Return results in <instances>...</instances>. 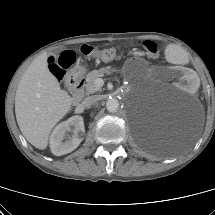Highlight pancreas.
Segmentation results:
<instances>
[{
    "mask_svg": "<svg viewBox=\"0 0 215 215\" xmlns=\"http://www.w3.org/2000/svg\"><path fill=\"white\" fill-rule=\"evenodd\" d=\"M114 71L110 66L103 67L99 70H93L86 75V94H92L101 91V87L97 85L96 79L104 76L105 74H110Z\"/></svg>",
    "mask_w": 215,
    "mask_h": 215,
    "instance_id": "cf45deb5",
    "label": "pancreas"
}]
</instances>
